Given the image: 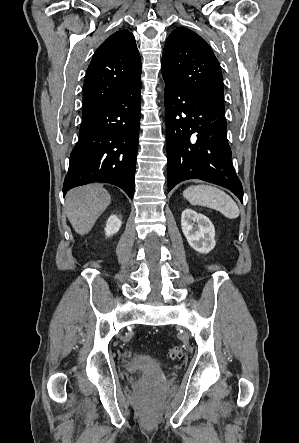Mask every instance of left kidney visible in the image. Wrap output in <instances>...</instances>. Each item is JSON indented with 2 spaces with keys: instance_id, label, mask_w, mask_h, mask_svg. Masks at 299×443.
<instances>
[{
  "instance_id": "1",
  "label": "left kidney",
  "mask_w": 299,
  "mask_h": 443,
  "mask_svg": "<svg viewBox=\"0 0 299 443\" xmlns=\"http://www.w3.org/2000/svg\"><path fill=\"white\" fill-rule=\"evenodd\" d=\"M181 228L189 245L195 251L207 254L215 247V228L205 215L185 209L181 216Z\"/></svg>"
}]
</instances>
